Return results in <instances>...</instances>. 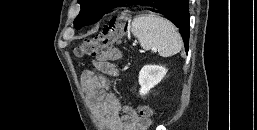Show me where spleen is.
I'll use <instances>...</instances> for the list:
<instances>
[{
  "label": "spleen",
  "instance_id": "obj_1",
  "mask_svg": "<svg viewBox=\"0 0 257 130\" xmlns=\"http://www.w3.org/2000/svg\"><path fill=\"white\" fill-rule=\"evenodd\" d=\"M131 32L144 50L155 49L162 57H170L181 51L183 43L177 28L156 14L136 16L132 21Z\"/></svg>",
  "mask_w": 257,
  "mask_h": 130
}]
</instances>
